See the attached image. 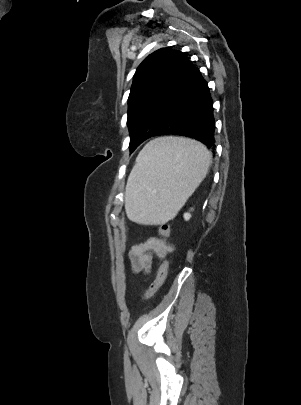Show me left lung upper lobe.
Instances as JSON below:
<instances>
[{
	"mask_svg": "<svg viewBox=\"0 0 301 405\" xmlns=\"http://www.w3.org/2000/svg\"><path fill=\"white\" fill-rule=\"evenodd\" d=\"M192 62L180 51L159 49L137 68L128 98L130 145L152 137L189 79Z\"/></svg>",
	"mask_w": 301,
	"mask_h": 405,
	"instance_id": "obj_1",
	"label": "left lung upper lobe"
}]
</instances>
